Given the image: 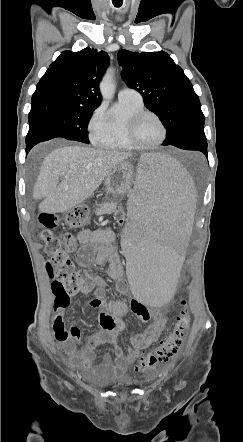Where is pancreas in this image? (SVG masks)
Here are the masks:
<instances>
[{"label": "pancreas", "mask_w": 243, "mask_h": 442, "mask_svg": "<svg viewBox=\"0 0 243 442\" xmlns=\"http://www.w3.org/2000/svg\"><path fill=\"white\" fill-rule=\"evenodd\" d=\"M116 209V203L114 202H104L99 205V207L96 209L95 213L96 215H103L106 213H112Z\"/></svg>", "instance_id": "obj_1"}]
</instances>
